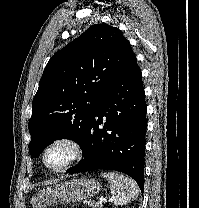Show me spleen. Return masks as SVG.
<instances>
[{
  "label": "spleen",
  "instance_id": "obj_1",
  "mask_svg": "<svg viewBox=\"0 0 199 208\" xmlns=\"http://www.w3.org/2000/svg\"><path fill=\"white\" fill-rule=\"evenodd\" d=\"M101 176L110 183V201L113 205H125L138 197L139 190L132 179L113 172L101 173Z\"/></svg>",
  "mask_w": 199,
  "mask_h": 208
}]
</instances>
